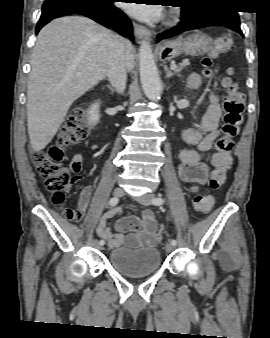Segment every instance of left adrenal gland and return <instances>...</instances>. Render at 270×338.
Here are the masks:
<instances>
[{
    "instance_id": "1",
    "label": "left adrenal gland",
    "mask_w": 270,
    "mask_h": 338,
    "mask_svg": "<svg viewBox=\"0 0 270 338\" xmlns=\"http://www.w3.org/2000/svg\"><path fill=\"white\" fill-rule=\"evenodd\" d=\"M164 69H165V73H166V78H170L174 75H176V73L170 71V69H168L167 65H164Z\"/></svg>"
}]
</instances>
